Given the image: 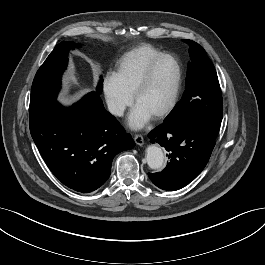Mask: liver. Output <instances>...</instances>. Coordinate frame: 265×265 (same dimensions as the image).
Returning a JSON list of instances; mask_svg holds the SVG:
<instances>
[{
	"mask_svg": "<svg viewBox=\"0 0 265 265\" xmlns=\"http://www.w3.org/2000/svg\"><path fill=\"white\" fill-rule=\"evenodd\" d=\"M60 101H61V103H63V104H69V100H68V98H66V97H61V98H60Z\"/></svg>",
	"mask_w": 265,
	"mask_h": 265,
	"instance_id": "6515ba94",
	"label": "liver"
}]
</instances>
